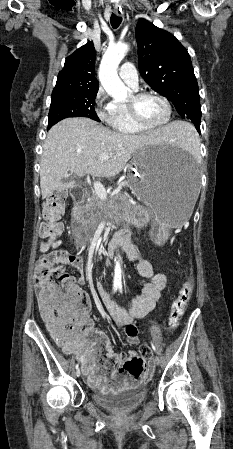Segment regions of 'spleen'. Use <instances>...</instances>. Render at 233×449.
Wrapping results in <instances>:
<instances>
[{"label": "spleen", "instance_id": "obj_1", "mask_svg": "<svg viewBox=\"0 0 233 449\" xmlns=\"http://www.w3.org/2000/svg\"><path fill=\"white\" fill-rule=\"evenodd\" d=\"M184 133L178 134L176 144L185 150H195L199 145L197 134L194 132L190 124L185 123Z\"/></svg>", "mask_w": 233, "mask_h": 449}]
</instances>
